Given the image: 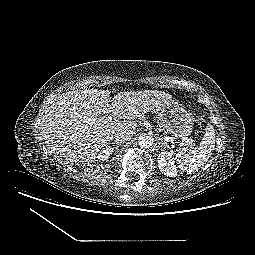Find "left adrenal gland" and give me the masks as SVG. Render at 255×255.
<instances>
[{"mask_svg":"<svg viewBox=\"0 0 255 255\" xmlns=\"http://www.w3.org/2000/svg\"><path fill=\"white\" fill-rule=\"evenodd\" d=\"M159 140H160V143H159V144L161 145V147H163V148L168 147L167 143L164 142V141L162 140V138H160Z\"/></svg>","mask_w":255,"mask_h":255,"instance_id":"a2214340","label":"left adrenal gland"}]
</instances>
